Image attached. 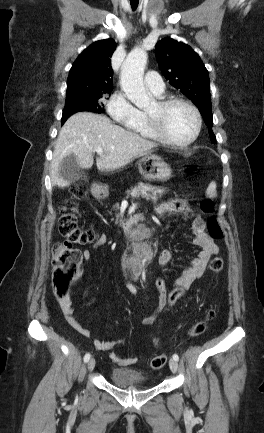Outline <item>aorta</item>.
Here are the masks:
<instances>
[{
    "label": "aorta",
    "instance_id": "1",
    "mask_svg": "<svg viewBox=\"0 0 264 433\" xmlns=\"http://www.w3.org/2000/svg\"><path fill=\"white\" fill-rule=\"evenodd\" d=\"M146 63L147 53L141 48H136L128 54L122 66V89L127 98L138 108H144L151 102L143 83Z\"/></svg>",
    "mask_w": 264,
    "mask_h": 433
}]
</instances>
